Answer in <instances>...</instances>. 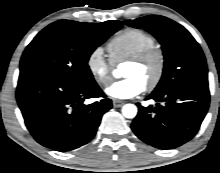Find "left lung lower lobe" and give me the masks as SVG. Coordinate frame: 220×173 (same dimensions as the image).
Segmentation results:
<instances>
[{"label": "left lung lower lobe", "instance_id": "obj_1", "mask_svg": "<svg viewBox=\"0 0 220 173\" xmlns=\"http://www.w3.org/2000/svg\"><path fill=\"white\" fill-rule=\"evenodd\" d=\"M147 99L164 102L156 107L139 106L131 124L143 142L160 149H174L198 132L210 101L208 86H180L165 92H152Z\"/></svg>", "mask_w": 220, "mask_h": 173}]
</instances>
